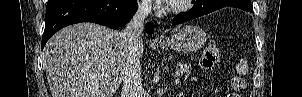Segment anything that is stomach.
Here are the masks:
<instances>
[{
	"mask_svg": "<svg viewBox=\"0 0 302 97\" xmlns=\"http://www.w3.org/2000/svg\"><path fill=\"white\" fill-rule=\"evenodd\" d=\"M206 33L194 25L185 26L173 37L160 43L163 49H171L181 52H197L206 43Z\"/></svg>",
	"mask_w": 302,
	"mask_h": 97,
	"instance_id": "obj_1",
	"label": "stomach"
}]
</instances>
